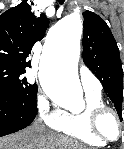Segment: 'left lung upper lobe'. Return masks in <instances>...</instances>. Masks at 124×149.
<instances>
[{
    "instance_id": "obj_1",
    "label": "left lung upper lobe",
    "mask_w": 124,
    "mask_h": 149,
    "mask_svg": "<svg viewBox=\"0 0 124 149\" xmlns=\"http://www.w3.org/2000/svg\"><path fill=\"white\" fill-rule=\"evenodd\" d=\"M83 16L84 63L103 84L122 121L123 69L117 43L100 16L91 11L84 12Z\"/></svg>"
}]
</instances>
